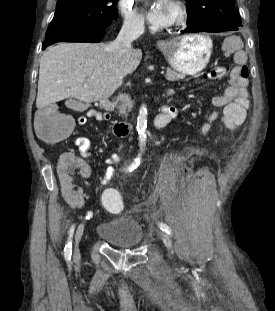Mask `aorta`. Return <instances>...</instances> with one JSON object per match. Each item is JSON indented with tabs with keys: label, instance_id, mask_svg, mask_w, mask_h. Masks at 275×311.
<instances>
[{
	"label": "aorta",
	"instance_id": "aorta-1",
	"mask_svg": "<svg viewBox=\"0 0 275 311\" xmlns=\"http://www.w3.org/2000/svg\"><path fill=\"white\" fill-rule=\"evenodd\" d=\"M137 131L139 135V145L142 149L146 142V128H147V108L143 104L139 109V114L137 118Z\"/></svg>",
	"mask_w": 275,
	"mask_h": 311
}]
</instances>
